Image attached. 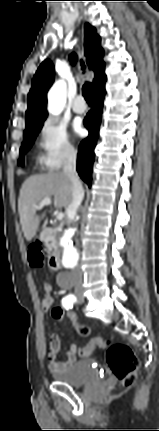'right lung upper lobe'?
<instances>
[{"instance_id": "obj_1", "label": "right lung upper lobe", "mask_w": 159, "mask_h": 431, "mask_svg": "<svg viewBox=\"0 0 159 431\" xmlns=\"http://www.w3.org/2000/svg\"><path fill=\"white\" fill-rule=\"evenodd\" d=\"M100 37L89 24L85 25L84 55L88 67L94 70V88L106 81L105 63L102 59L103 50L100 47ZM72 63L76 61L73 54ZM54 81V66L50 60L42 62L32 80V88L28 94V109L26 111V129L41 124L46 119L47 91Z\"/></svg>"}]
</instances>
